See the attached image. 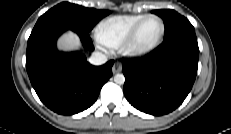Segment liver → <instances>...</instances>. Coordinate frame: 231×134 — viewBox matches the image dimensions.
Instances as JSON below:
<instances>
[{"mask_svg":"<svg viewBox=\"0 0 231 134\" xmlns=\"http://www.w3.org/2000/svg\"><path fill=\"white\" fill-rule=\"evenodd\" d=\"M79 46L78 36L71 31L64 33L59 40V48L63 50H70Z\"/></svg>","mask_w":231,"mask_h":134,"instance_id":"1","label":"liver"}]
</instances>
